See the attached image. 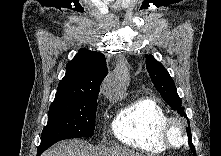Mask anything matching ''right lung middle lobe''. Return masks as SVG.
<instances>
[{
    "label": "right lung middle lobe",
    "instance_id": "1",
    "mask_svg": "<svg viewBox=\"0 0 221 156\" xmlns=\"http://www.w3.org/2000/svg\"><path fill=\"white\" fill-rule=\"evenodd\" d=\"M97 99L98 96H88L75 101L53 102L37 155L60 140L93 136Z\"/></svg>",
    "mask_w": 221,
    "mask_h": 156
}]
</instances>
